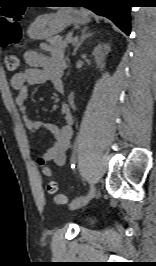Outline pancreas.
Returning a JSON list of instances; mask_svg holds the SVG:
<instances>
[{"instance_id": "pancreas-1", "label": "pancreas", "mask_w": 156, "mask_h": 266, "mask_svg": "<svg viewBox=\"0 0 156 266\" xmlns=\"http://www.w3.org/2000/svg\"><path fill=\"white\" fill-rule=\"evenodd\" d=\"M68 38L69 37H66V39L63 40V37L57 35V36H54V37H50L47 42H48V46H45V48L47 50H51V49H54V48H61V49H65L67 46H68Z\"/></svg>"}]
</instances>
